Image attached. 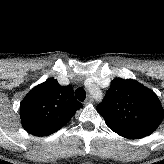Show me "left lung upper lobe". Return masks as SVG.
<instances>
[{"label": "left lung upper lobe", "instance_id": "5c2ea615", "mask_svg": "<svg viewBox=\"0 0 164 164\" xmlns=\"http://www.w3.org/2000/svg\"><path fill=\"white\" fill-rule=\"evenodd\" d=\"M97 111L113 129L152 134L164 117L157 95L133 79L115 78Z\"/></svg>", "mask_w": 164, "mask_h": 164}]
</instances>
